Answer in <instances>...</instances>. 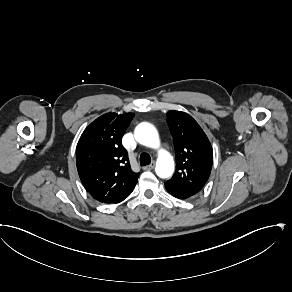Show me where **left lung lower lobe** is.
Wrapping results in <instances>:
<instances>
[{
  "mask_svg": "<svg viewBox=\"0 0 292 292\" xmlns=\"http://www.w3.org/2000/svg\"><path fill=\"white\" fill-rule=\"evenodd\" d=\"M165 188L172 196L179 198V199H187V198H190L196 194L192 191L178 189V188L169 186L167 184H165Z\"/></svg>",
  "mask_w": 292,
  "mask_h": 292,
  "instance_id": "obj_1",
  "label": "left lung lower lobe"
}]
</instances>
